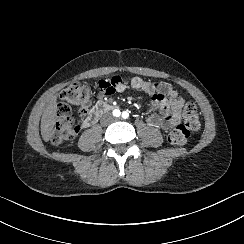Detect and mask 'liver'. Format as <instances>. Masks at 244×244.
I'll return each instance as SVG.
<instances>
[{"label":"liver","instance_id":"6515ba94","mask_svg":"<svg viewBox=\"0 0 244 244\" xmlns=\"http://www.w3.org/2000/svg\"><path fill=\"white\" fill-rule=\"evenodd\" d=\"M58 112L57 95H52L41 118V136L45 142L50 140L56 124Z\"/></svg>","mask_w":244,"mask_h":244}]
</instances>
